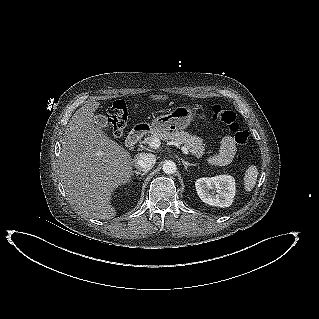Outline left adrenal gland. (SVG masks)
<instances>
[{"instance_id": "1", "label": "left adrenal gland", "mask_w": 319, "mask_h": 319, "mask_svg": "<svg viewBox=\"0 0 319 319\" xmlns=\"http://www.w3.org/2000/svg\"><path fill=\"white\" fill-rule=\"evenodd\" d=\"M182 163L184 165V168L187 170V168L189 166H197L198 164L197 163H189L188 161H185L184 159H182Z\"/></svg>"}]
</instances>
